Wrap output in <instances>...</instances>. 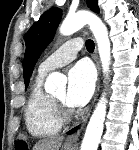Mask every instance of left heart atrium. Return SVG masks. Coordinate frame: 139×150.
<instances>
[{
    "instance_id": "obj_1",
    "label": "left heart atrium",
    "mask_w": 139,
    "mask_h": 150,
    "mask_svg": "<svg viewBox=\"0 0 139 150\" xmlns=\"http://www.w3.org/2000/svg\"><path fill=\"white\" fill-rule=\"evenodd\" d=\"M95 87V73L87 62H79L68 73L66 103L72 107L85 105Z\"/></svg>"
}]
</instances>
